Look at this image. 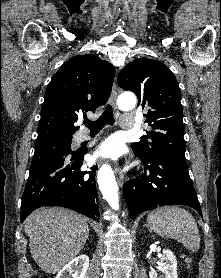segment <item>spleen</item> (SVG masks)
<instances>
[{
    "label": "spleen",
    "mask_w": 221,
    "mask_h": 278,
    "mask_svg": "<svg viewBox=\"0 0 221 278\" xmlns=\"http://www.w3.org/2000/svg\"><path fill=\"white\" fill-rule=\"evenodd\" d=\"M147 223L161 237L175 239L185 248L196 252L200 248V235L194 217L177 206H164L149 213Z\"/></svg>",
    "instance_id": "obj_1"
}]
</instances>
